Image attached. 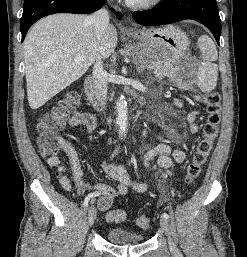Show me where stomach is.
I'll return each mask as SVG.
<instances>
[{
  "mask_svg": "<svg viewBox=\"0 0 247 257\" xmlns=\"http://www.w3.org/2000/svg\"><path fill=\"white\" fill-rule=\"evenodd\" d=\"M129 35L136 41L132 55L141 67L153 66L155 63H169L176 66L188 51L189 42L186 34L172 25L142 29ZM173 69L169 77L178 82L177 66ZM191 82H195V79Z\"/></svg>",
  "mask_w": 247,
  "mask_h": 257,
  "instance_id": "0dacf381",
  "label": "stomach"
}]
</instances>
